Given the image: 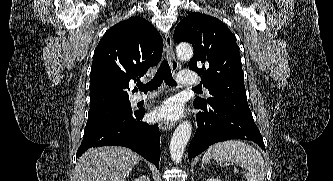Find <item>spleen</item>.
Segmentation results:
<instances>
[{
  "instance_id": "3e777b00",
  "label": "spleen",
  "mask_w": 333,
  "mask_h": 181,
  "mask_svg": "<svg viewBox=\"0 0 333 181\" xmlns=\"http://www.w3.org/2000/svg\"><path fill=\"white\" fill-rule=\"evenodd\" d=\"M232 161L245 169L247 181H264L266 175L265 162L252 146L238 140H229L214 144L203 155L202 162Z\"/></svg>"
}]
</instances>
